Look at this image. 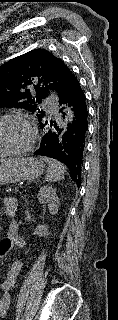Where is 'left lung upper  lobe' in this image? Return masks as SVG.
Masks as SVG:
<instances>
[{
	"instance_id": "1",
	"label": "left lung upper lobe",
	"mask_w": 118,
	"mask_h": 320,
	"mask_svg": "<svg viewBox=\"0 0 118 320\" xmlns=\"http://www.w3.org/2000/svg\"><path fill=\"white\" fill-rule=\"evenodd\" d=\"M72 75L61 59L44 49L11 59L0 67V108H25L40 121L46 112L39 104L48 91L58 95ZM30 88L35 89V96Z\"/></svg>"
}]
</instances>
